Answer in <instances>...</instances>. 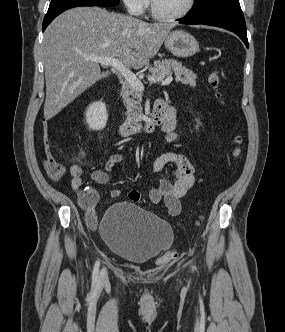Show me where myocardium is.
<instances>
[{
	"mask_svg": "<svg viewBox=\"0 0 285 332\" xmlns=\"http://www.w3.org/2000/svg\"><path fill=\"white\" fill-rule=\"evenodd\" d=\"M195 3H196V0H189L186 8L183 11H181L180 13L175 14V15H164V14H161L158 12V10L156 9L154 0H150V13L153 18H155L159 21H164V22L178 21V20L184 18L185 16H187L191 12V10L195 6Z\"/></svg>",
	"mask_w": 285,
	"mask_h": 332,
	"instance_id": "1",
	"label": "myocardium"
}]
</instances>
